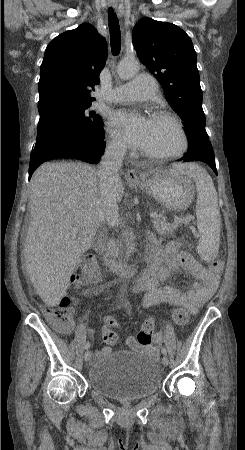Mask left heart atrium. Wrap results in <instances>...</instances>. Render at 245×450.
Here are the masks:
<instances>
[{
  "label": "left heart atrium",
  "instance_id": "obj_1",
  "mask_svg": "<svg viewBox=\"0 0 245 450\" xmlns=\"http://www.w3.org/2000/svg\"><path fill=\"white\" fill-rule=\"evenodd\" d=\"M151 120L128 110L115 111L110 120V129L118 134L131 148H143L147 142Z\"/></svg>",
  "mask_w": 245,
  "mask_h": 450
}]
</instances>
